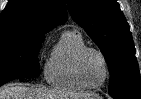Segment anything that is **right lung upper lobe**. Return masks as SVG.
Returning <instances> with one entry per match:
<instances>
[{"instance_id":"cb5924a9","label":"right lung upper lobe","mask_w":141,"mask_h":99,"mask_svg":"<svg viewBox=\"0 0 141 99\" xmlns=\"http://www.w3.org/2000/svg\"><path fill=\"white\" fill-rule=\"evenodd\" d=\"M67 21L63 0H9L0 14V35L24 34L44 38Z\"/></svg>"}]
</instances>
